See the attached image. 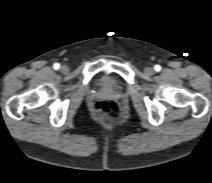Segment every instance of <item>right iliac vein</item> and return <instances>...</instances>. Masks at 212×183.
<instances>
[{"label":"right iliac vein","mask_w":212,"mask_h":183,"mask_svg":"<svg viewBox=\"0 0 212 183\" xmlns=\"http://www.w3.org/2000/svg\"><path fill=\"white\" fill-rule=\"evenodd\" d=\"M60 70L62 73L66 74L69 72V67L67 65H62Z\"/></svg>","instance_id":"obj_1"}]
</instances>
